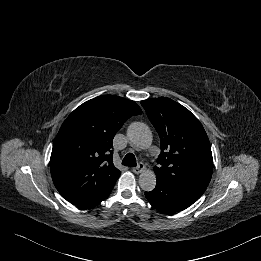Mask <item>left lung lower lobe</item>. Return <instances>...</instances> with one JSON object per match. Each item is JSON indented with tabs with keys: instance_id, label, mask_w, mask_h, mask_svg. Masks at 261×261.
<instances>
[{
	"instance_id": "obj_1",
	"label": "left lung lower lobe",
	"mask_w": 261,
	"mask_h": 261,
	"mask_svg": "<svg viewBox=\"0 0 261 261\" xmlns=\"http://www.w3.org/2000/svg\"><path fill=\"white\" fill-rule=\"evenodd\" d=\"M203 193L191 188L157 181L156 187L145 192L148 201L159 211L174 213L196 202Z\"/></svg>"
}]
</instances>
